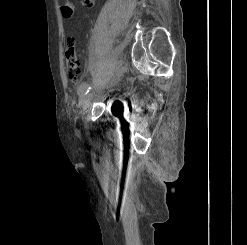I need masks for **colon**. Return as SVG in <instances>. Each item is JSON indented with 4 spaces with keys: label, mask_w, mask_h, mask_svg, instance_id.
<instances>
[{
    "label": "colon",
    "mask_w": 247,
    "mask_h": 245,
    "mask_svg": "<svg viewBox=\"0 0 247 245\" xmlns=\"http://www.w3.org/2000/svg\"><path fill=\"white\" fill-rule=\"evenodd\" d=\"M65 62L68 78L76 82L81 74V62L76 49V41L72 37H69L66 42Z\"/></svg>",
    "instance_id": "5ec220e1"
}]
</instances>
